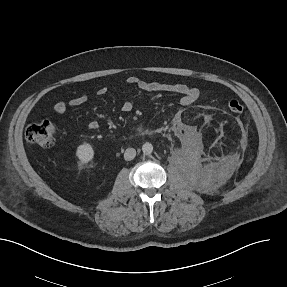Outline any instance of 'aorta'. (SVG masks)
I'll use <instances>...</instances> for the list:
<instances>
[{
	"label": "aorta",
	"instance_id": "obj_1",
	"mask_svg": "<svg viewBox=\"0 0 287 287\" xmlns=\"http://www.w3.org/2000/svg\"><path fill=\"white\" fill-rule=\"evenodd\" d=\"M142 151H143V153L146 154V155L151 154L152 151H153V146H152V144L149 143V142H146L145 144H143V146H142Z\"/></svg>",
	"mask_w": 287,
	"mask_h": 287
}]
</instances>
